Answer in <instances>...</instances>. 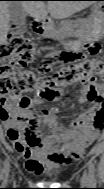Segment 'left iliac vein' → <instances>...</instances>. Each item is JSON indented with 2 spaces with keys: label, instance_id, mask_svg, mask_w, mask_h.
Wrapping results in <instances>:
<instances>
[{
  "label": "left iliac vein",
  "instance_id": "1",
  "mask_svg": "<svg viewBox=\"0 0 104 189\" xmlns=\"http://www.w3.org/2000/svg\"><path fill=\"white\" fill-rule=\"evenodd\" d=\"M81 181H82V184L86 186H91L92 184V181L90 180V177L86 171L83 173Z\"/></svg>",
  "mask_w": 104,
  "mask_h": 189
}]
</instances>
